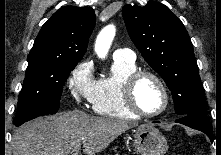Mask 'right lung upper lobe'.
<instances>
[{
    "mask_svg": "<svg viewBox=\"0 0 221 155\" xmlns=\"http://www.w3.org/2000/svg\"><path fill=\"white\" fill-rule=\"evenodd\" d=\"M95 21V12L90 7L60 8L42 26L27 60L78 63L86 52Z\"/></svg>",
    "mask_w": 221,
    "mask_h": 155,
    "instance_id": "right-lung-upper-lobe-1",
    "label": "right lung upper lobe"
}]
</instances>
